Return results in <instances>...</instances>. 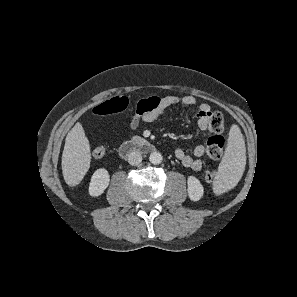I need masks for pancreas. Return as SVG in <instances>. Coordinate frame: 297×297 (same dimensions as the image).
Instances as JSON below:
<instances>
[{
  "label": "pancreas",
  "mask_w": 297,
  "mask_h": 297,
  "mask_svg": "<svg viewBox=\"0 0 297 297\" xmlns=\"http://www.w3.org/2000/svg\"><path fill=\"white\" fill-rule=\"evenodd\" d=\"M138 137L137 136H135L133 139H137Z\"/></svg>",
  "instance_id": "1"
}]
</instances>
